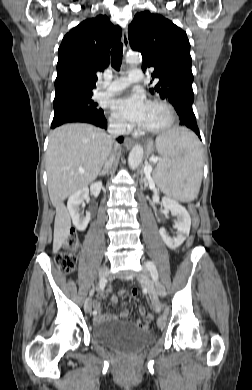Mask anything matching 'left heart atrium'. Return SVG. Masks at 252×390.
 Wrapping results in <instances>:
<instances>
[{"label":"left heart atrium","mask_w":252,"mask_h":390,"mask_svg":"<svg viewBox=\"0 0 252 390\" xmlns=\"http://www.w3.org/2000/svg\"><path fill=\"white\" fill-rule=\"evenodd\" d=\"M148 102L140 93H133L115 99L112 102V109L122 119L133 124L142 125L144 122Z\"/></svg>","instance_id":"obj_1"}]
</instances>
